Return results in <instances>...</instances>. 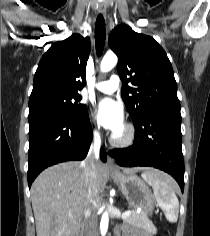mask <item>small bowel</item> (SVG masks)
<instances>
[{
  "mask_svg": "<svg viewBox=\"0 0 210 236\" xmlns=\"http://www.w3.org/2000/svg\"><path fill=\"white\" fill-rule=\"evenodd\" d=\"M123 236H151V235H149L148 233H143V232L142 233H137V232H134L130 229H126L124 231Z\"/></svg>",
  "mask_w": 210,
  "mask_h": 236,
  "instance_id": "small-bowel-1",
  "label": "small bowel"
}]
</instances>
